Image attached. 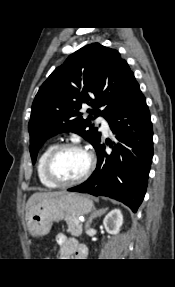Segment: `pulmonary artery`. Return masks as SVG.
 Instances as JSON below:
<instances>
[{
	"instance_id": "1",
	"label": "pulmonary artery",
	"mask_w": 175,
	"mask_h": 287,
	"mask_svg": "<svg viewBox=\"0 0 175 287\" xmlns=\"http://www.w3.org/2000/svg\"><path fill=\"white\" fill-rule=\"evenodd\" d=\"M98 122L101 123V127H102L103 132L107 133L109 131L108 122L102 117L98 118Z\"/></svg>"
}]
</instances>
